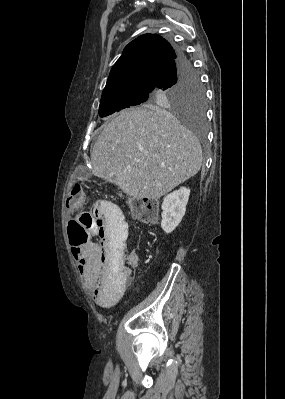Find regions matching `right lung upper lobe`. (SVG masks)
Listing matches in <instances>:
<instances>
[{
    "label": "right lung upper lobe",
    "instance_id": "obj_1",
    "mask_svg": "<svg viewBox=\"0 0 285 399\" xmlns=\"http://www.w3.org/2000/svg\"><path fill=\"white\" fill-rule=\"evenodd\" d=\"M176 59L170 43L144 34L130 42L112 67L102 97L137 89H155L166 68Z\"/></svg>",
    "mask_w": 285,
    "mask_h": 399
}]
</instances>
